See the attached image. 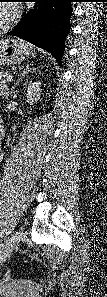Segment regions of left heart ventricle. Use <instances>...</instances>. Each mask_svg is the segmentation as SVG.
<instances>
[{"mask_svg": "<svg viewBox=\"0 0 107 297\" xmlns=\"http://www.w3.org/2000/svg\"><path fill=\"white\" fill-rule=\"evenodd\" d=\"M0 26L8 19L9 12L5 7H0Z\"/></svg>", "mask_w": 107, "mask_h": 297, "instance_id": "b2bd125f", "label": "left heart ventricle"}]
</instances>
